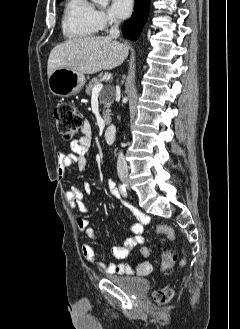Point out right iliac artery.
<instances>
[{
	"instance_id": "1",
	"label": "right iliac artery",
	"mask_w": 240,
	"mask_h": 329,
	"mask_svg": "<svg viewBox=\"0 0 240 329\" xmlns=\"http://www.w3.org/2000/svg\"><path fill=\"white\" fill-rule=\"evenodd\" d=\"M119 191L122 194L123 197H127V191L124 185L119 184Z\"/></svg>"
}]
</instances>
